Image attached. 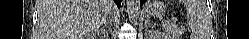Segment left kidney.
I'll use <instances>...</instances> for the list:
<instances>
[{
  "label": "left kidney",
  "instance_id": "5707ae66",
  "mask_svg": "<svg viewBox=\"0 0 249 39\" xmlns=\"http://www.w3.org/2000/svg\"><path fill=\"white\" fill-rule=\"evenodd\" d=\"M154 39H168V36L165 34H161V33H155Z\"/></svg>",
  "mask_w": 249,
  "mask_h": 39
}]
</instances>
